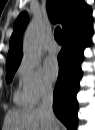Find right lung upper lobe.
I'll use <instances>...</instances> for the list:
<instances>
[{"mask_svg": "<svg viewBox=\"0 0 95 130\" xmlns=\"http://www.w3.org/2000/svg\"><path fill=\"white\" fill-rule=\"evenodd\" d=\"M47 10L52 22L62 24L64 38L79 33L92 22L91 9L84 0H47ZM28 21V15L24 12L14 24L6 70L18 68L21 62L23 31Z\"/></svg>", "mask_w": 95, "mask_h": 130, "instance_id": "right-lung-upper-lobe-1", "label": "right lung upper lobe"}]
</instances>
